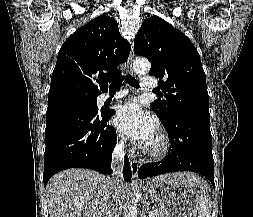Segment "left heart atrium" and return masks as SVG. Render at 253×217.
<instances>
[{
	"mask_svg": "<svg viewBox=\"0 0 253 217\" xmlns=\"http://www.w3.org/2000/svg\"><path fill=\"white\" fill-rule=\"evenodd\" d=\"M114 124L121 133L144 144L153 138L158 128L156 118L133 101L118 109Z\"/></svg>",
	"mask_w": 253,
	"mask_h": 217,
	"instance_id": "39dd6f15",
	"label": "left heart atrium"
}]
</instances>
